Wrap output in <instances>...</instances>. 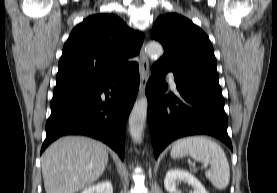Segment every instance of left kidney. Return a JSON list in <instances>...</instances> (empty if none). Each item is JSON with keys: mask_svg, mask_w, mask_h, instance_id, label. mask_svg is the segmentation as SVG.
<instances>
[{"mask_svg": "<svg viewBox=\"0 0 277 193\" xmlns=\"http://www.w3.org/2000/svg\"><path fill=\"white\" fill-rule=\"evenodd\" d=\"M186 182L193 187L191 193H209L205 190L201 182L191 173L181 169H171L166 173L164 186L169 193H181L177 190L178 182Z\"/></svg>", "mask_w": 277, "mask_h": 193, "instance_id": "1", "label": "left kidney"}]
</instances>
